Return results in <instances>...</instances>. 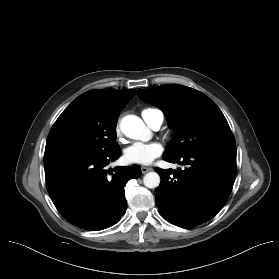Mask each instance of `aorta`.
I'll list each match as a JSON object with an SVG mask.
<instances>
[{
	"label": "aorta",
	"mask_w": 279,
	"mask_h": 279,
	"mask_svg": "<svg viewBox=\"0 0 279 279\" xmlns=\"http://www.w3.org/2000/svg\"><path fill=\"white\" fill-rule=\"evenodd\" d=\"M122 133L134 140H147L150 138V130L144 122L136 115H126L120 122ZM143 183L147 188L153 189L160 184V176L156 172H149L144 175Z\"/></svg>",
	"instance_id": "aorta-1"
}]
</instances>
